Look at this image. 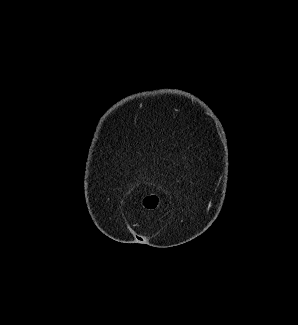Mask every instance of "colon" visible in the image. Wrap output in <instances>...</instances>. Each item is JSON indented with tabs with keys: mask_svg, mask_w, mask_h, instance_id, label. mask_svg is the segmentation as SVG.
Wrapping results in <instances>:
<instances>
[{
	"mask_svg": "<svg viewBox=\"0 0 298 325\" xmlns=\"http://www.w3.org/2000/svg\"><path fill=\"white\" fill-rule=\"evenodd\" d=\"M158 197L156 195H147L142 199V205L147 209H155L158 206Z\"/></svg>",
	"mask_w": 298,
	"mask_h": 325,
	"instance_id": "colon-1",
	"label": "colon"
}]
</instances>
